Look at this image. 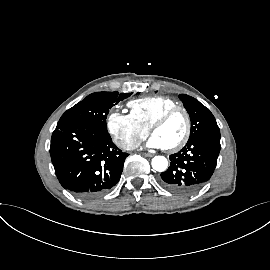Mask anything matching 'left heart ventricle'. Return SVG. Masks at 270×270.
Masks as SVG:
<instances>
[{
    "mask_svg": "<svg viewBox=\"0 0 270 270\" xmlns=\"http://www.w3.org/2000/svg\"><path fill=\"white\" fill-rule=\"evenodd\" d=\"M186 130V118L182 112L175 113L165 124L159 127L154 136L164 148L171 147L181 140Z\"/></svg>",
    "mask_w": 270,
    "mask_h": 270,
    "instance_id": "b2bd125f",
    "label": "left heart ventricle"
}]
</instances>
